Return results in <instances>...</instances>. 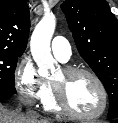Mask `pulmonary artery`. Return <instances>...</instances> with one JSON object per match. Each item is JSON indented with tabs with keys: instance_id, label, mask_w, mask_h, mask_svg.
Returning <instances> with one entry per match:
<instances>
[{
	"instance_id": "1",
	"label": "pulmonary artery",
	"mask_w": 118,
	"mask_h": 123,
	"mask_svg": "<svg viewBox=\"0 0 118 123\" xmlns=\"http://www.w3.org/2000/svg\"><path fill=\"white\" fill-rule=\"evenodd\" d=\"M51 50L54 56L61 62H67L71 55L72 50L69 42L60 36L55 37L51 42Z\"/></svg>"
}]
</instances>
